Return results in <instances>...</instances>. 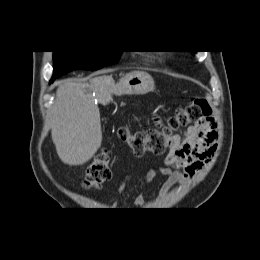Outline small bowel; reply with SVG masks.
<instances>
[{
  "mask_svg": "<svg viewBox=\"0 0 260 260\" xmlns=\"http://www.w3.org/2000/svg\"><path fill=\"white\" fill-rule=\"evenodd\" d=\"M153 122L155 126L162 125L159 115H154ZM217 137V125L211 118L188 127L182 137H174L164 164L146 172L142 179L143 184L150 183L159 175L165 176L166 181L161 187V193H165L172 185L190 180L210 162L216 150ZM129 180L130 177H127L120 184L117 196L126 190ZM144 202L141 194L134 199L137 207H141ZM116 204L117 200L113 202V205Z\"/></svg>",
  "mask_w": 260,
  "mask_h": 260,
  "instance_id": "small-bowel-1",
  "label": "small bowel"
}]
</instances>
